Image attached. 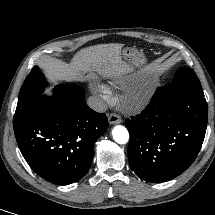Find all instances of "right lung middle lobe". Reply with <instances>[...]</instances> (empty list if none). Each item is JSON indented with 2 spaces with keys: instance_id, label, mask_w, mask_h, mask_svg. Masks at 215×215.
Listing matches in <instances>:
<instances>
[{
  "instance_id": "1",
  "label": "right lung middle lobe",
  "mask_w": 215,
  "mask_h": 215,
  "mask_svg": "<svg viewBox=\"0 0 215 215\" xmlns=\"http://www.w3.org/2000/svg\"><path fill=\"white\" fill-rule=\"evenodd\" d=\"M45 85L46 81L43 74L39 68L35 66L21 87L18 104L14 115V129L19 127L20 124L23 123V121L35 109Z\"/></svg>"
}]
</instances>
